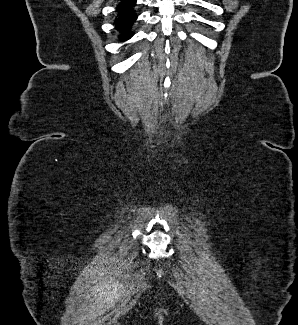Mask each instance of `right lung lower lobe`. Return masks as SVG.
Masks as SVG:
<instances>
[{
	"mask_svg": "<svg viewBox=\"0 0 298 325\" xmlns=\"http://www.w3.org/2000/svg\"><path fill=\"white\" fill-rule=\"evenodd\" d=\"M137 0H123L117 6L118 18L115 20L116 29L122 32L120 40L129 39L133 33L129 30L133 22L137 19V14L133 7Z\"/></svg>",
	"mask_w": 298,
	"mask_h": 325,
	"instance_id": "right-lung-lower-lobe-1",
	"label": "right lung lower lobe"
}]
</instances>
